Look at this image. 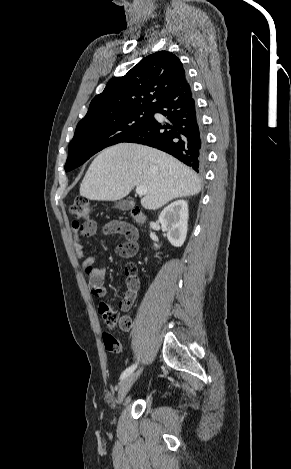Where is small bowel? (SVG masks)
Masks as SVG:
<instances>
[{
  "mask_svg": "<svg viewBox=\"0 0 291 469\" xmlns=\"http://www.w3.org/2000/svg\"><path fill=\"white\" fill-rule=\"evenodd\" d=\"M72 229L74 232L73 246H74L75 254H76L77 259L84 260L82 263V270H83L85 277L87 278L89 282V287L95 296L99 298H103L106 295L104 281H105V277L107 274V268L106 267L93 268V263L96 257L86 258L83 243H82V238H81L82 236L93 235L98 229V224L94 220L89 221L86 225H80L77 222H73ZM102 230L105 234L124 235L128 239V241L132 242L136 247V244H135L136 231L131 226L123 222H119V221H109L103 225ZM135 252L130 255H122V256L131 257L135 254ZM126 285H127V281H126ZM126 295H127V290L125 293V297ZM136 295L137 293L134 295V298L136 297ZM107 306L111 308L109 305ZM120 329L122 331H129L131 327L126 328L120 325Z\"/></svg>",
  "mask_w": 291,
  "mask_h": 469,
  "instance_id": "obj_1",
  "label": "small bowel"
}]
</instances>
